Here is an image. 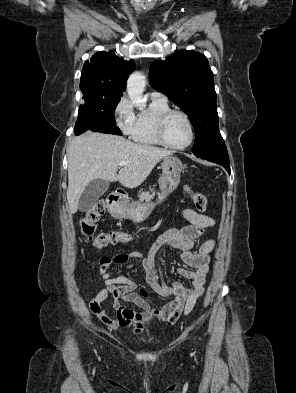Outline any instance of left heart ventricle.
Here are the masks:
<instances>
[{
	"label": "left heart ventricle",
	"mask_w": 296,
	"mask_h": 393,
	"mask_svg": "<svg viewBox=\"0 0 296 393\" xmlns=\"http://www.w3.org/2000/svg\"><path fill=\"white\" fill-rule=\"evenodd\" d=\"M166 139L169 143L181 146L188 142L190 130L185 119L179 115L172 116L166 125Z\"/></svg>",
	"instance_id": "left-heart-ventricle-1"
}]
</instances>
